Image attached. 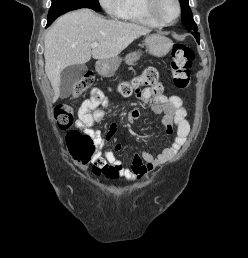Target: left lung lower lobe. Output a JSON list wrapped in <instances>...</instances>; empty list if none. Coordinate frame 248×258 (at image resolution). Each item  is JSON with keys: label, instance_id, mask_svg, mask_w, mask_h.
I'll use <instances>...</instances> for the list:
<instances>
[{"label": "left lung lower lobe", "instance_id": "0a47b994", "mask_svg": "<svg viewBox=\"0 0 248 258\" xmlns=\"http://www.w3.org/2000/svg\"><path fill=\"white\" fill-rule=\"evenodd\" d=\"M192 34L194 35V37L196 38L197 42L199 43V33L196 31V32H192Z\"/></svg>", "mask_w": 248, "mask_h": 258}]
</instances>
